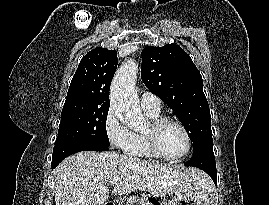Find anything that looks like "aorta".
<instances>
[{"label": "aorta", "mask_w": 269, "mask_h": 205, "mask_svg": "<svg viewBox=\"0 0 269 205\" xmlns=\"http://www.w3.org/2000/svg\"><path fill=\"white\" fill-rule=\"evenodd\" d=\"M138 65L127 60L116 72L110 90V102L115 116L131 128L143 123V115L135 92Z\"/></svg>", "instance_id": "obj_1"}]
</instances>
